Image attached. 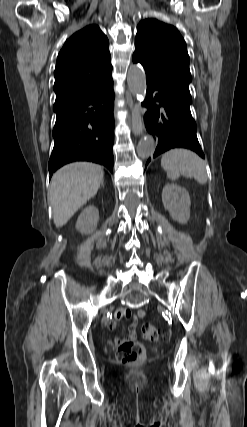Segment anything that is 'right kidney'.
I'll return each instance as SVG.
<instances>
[{"label": "right kidney", "mask_w": 247, "mask_h": 427, "mask_svg": "<svg viewBox=\"0 0 247 427\" xmlns=\"http://www.w3.org/2000/svg\"><path fill=\"white\" fill-rule=\"evenodd\" d=\"M98 221V209L93 205H89L79 215L76 222V229L81 234L92 233L96 229Z\"/></svg>", "instance_id": "obj_1"}]
</instances>
